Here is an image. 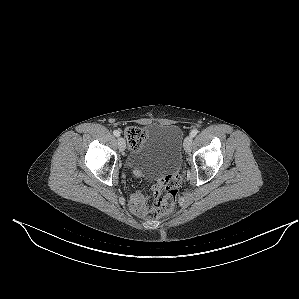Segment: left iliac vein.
<instances>
[{"label":"left iliac vein","mask_w":299,"mask_h":299,"mask_svg":"<svg viewBox=\"0 0 299 299\" xmlns=\"http://www.w3.org/2000/svg\"><path fill=\"white\" fill-rule=\"evenodd\" d=\"M192 136H187L184 140V149L186 152H190L192 145Z\"/></svg>","instance_id":"obj_1"}]
</instances>
